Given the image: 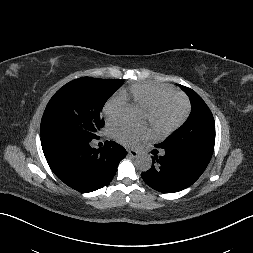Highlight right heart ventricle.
<instances>
[{
    "label": "right heart ventricle",
    "instance_id": "e07e8e85",
    "mask_svg": "<svg viewBox=\"0 0 253 253\" xmlns=\"http://www.w3.org/2000/svg\"><path fill=\"white\" fill-rule=\"evenodd\" d=\"M167 92H173V89L164 85L135 83L123 89L120 94L126 100H131L146 109L157 97Z\"/></svg>",
    "mask_w": 253,
    "mask_h": 253
}]
</instances>
